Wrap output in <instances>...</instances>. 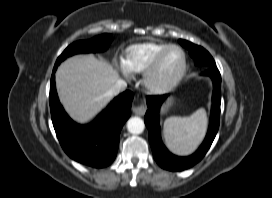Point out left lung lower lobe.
Returning <instances> with one entry per match:
<instances>
[{"label":"left lung lower lobe","mask_w":272,"mask_h":198,"mask_svg":"<svg viewBox=\"0 0 272 198\" xmlns=\"http://www.w3.org/2000/svg\"><path fill=\"white\" fill-rule=\"evenodd\" d=\"M202 74L210 76L214 86L210 125L202 145L189 157H178L171 154L161 141L158 113L160 106L167 98V95L148 96L146 99L148 111L145 114L144 122L149 131V141L153 156L159 166L164 169L181 171L192 167L204 157L216 136L220 118L221 76L217 67H210Z\"/></svg>","instance_id":"1"}]
</instances>
